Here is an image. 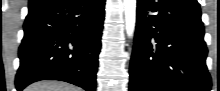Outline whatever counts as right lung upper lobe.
I'll return each mask as SVG.
<instances>
[{"instance_id":"obj_1","label":"right lung upper lobe","mask_w":220,"mask_h":91,"mask_svg":"<svg viewBox=\"0 0 220 91\" xmlns=\"http://www.w3.org/2000/svg\"><path fill=\"white\" fill-rule=\"evenodd\" d=\"M34 1H37V0H30V2H34Z\"/></svg>"}]
</instances>
